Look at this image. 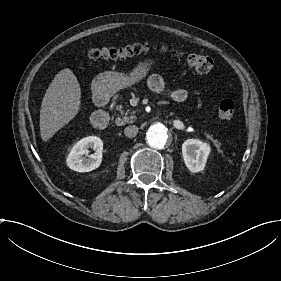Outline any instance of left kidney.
I'll list each match as a JSON object with an SVG mask.
<instances>
[{"label":"left kidney","instance_id":"5707ae66","mask_svg":"<svg viewBox=\"0 0 281 281\" xmlns=\"http://www.w3.org/2000/svg\"><path fill=\"white\" fill-rule=\"evenodd\" d=\"M211 149L209 144L198 139H188L182 145V154L185 165L191 172H200L204 169Z\"/></svg>","mask_w":281,"mask_h":281}]
</instances>
